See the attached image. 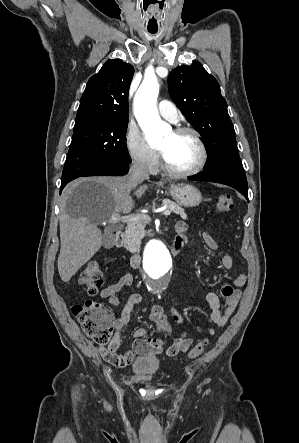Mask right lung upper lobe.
I'll return each instance as SVG.
<instances>
[{
    "instance_id": "right-lung-upper-lobe-1",
    "label": "right lung upper lobe",
    "mask_w": 299,
    "mask_h": 443,
    "mask_svg": "<svg viewBox=\"0 0 299 443\" xmlns=\"http://www.w3.org/2000/svg\"><path fill=\"white\" fill-rule=\"evenodd\" d=\"M134 68L120 59L105 62L81 97L74 128L109 120H128V90Z\"/></svg>"
}]
</instances>
